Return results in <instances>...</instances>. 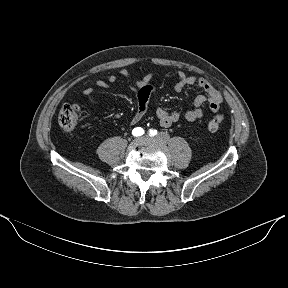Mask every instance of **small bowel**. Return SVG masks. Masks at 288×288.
<instances>
[{"instance_id":"c3829d8e","label":"small bowel","mask_w":288,"mask_h":288,"mask_svg":"<svg viewBox=\"0 0 288 288\" xmlns=\"http://www.w3.org/2000/svg\"><path fill=\"white\" fill-rule=\"evenodd\" d=\"M120 75L130 82L129 87L137 92V107L134 115L130 119V125L139 123L146 115L148 108V101L153 91L151 85L152 74H147L140 80L133 81L127 70L120 71ZM117 76L112 74L107 80L99 79L96 81V86L99 88H109L110 85L116 83ZM186 86H198L205 95H199L194 101V108L187 111L169 110L166 107H159L156 110V116L163 127H169L174 123L184 119L192 122L201 119L204 115L205 109L208 108L212 112L218 111L222 102L220 92L205 78L188 75L183 71H179L177 75V82L175 90L181 91ZM85 96L96 106L100 102L94 95L93 88H86L84 90Z\"/></svg>"}]
</instances>
